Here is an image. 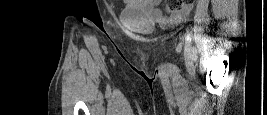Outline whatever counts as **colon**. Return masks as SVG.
Segmentation results:
<instances>
[{
    "mask_svg": "<svg viewBox=\"0 0 267 115\" xmlns=\"http://www.w3.org/2000/svg\"><path fill=\"white\" fill-rule=\"evenodd\" d=\"M192 0H167L166 11L169 13L177 12L183 7L190 5Z\"/></svg>",
    "mask_w": 267,
    "mask_h": 115,
    "instance_id": "5ec220e1",
    "label": "colon"
}]
</instances>
